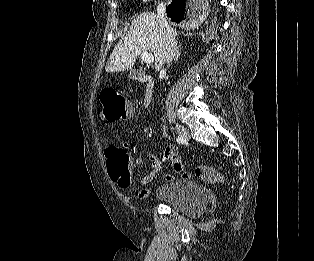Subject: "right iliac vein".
I'll return each mask as SVG.
<instances>
[{
  "instance_id": "63e3f726",
  "label": "right iliac vein",
  "mask_w": 314,
  "mask_h": 261,
  "mask_svg": "<svg viewBox=\"0 0 314 261\" xmlns=\"http://www.w3.org/2000/svg\"><path fill=\"white\" fill-rule=\"evenodd\" d=\"M175 129H176L177 133H178L183 139L189 140L190 135H189L188 130H187L185 127H183V126L180 125V124H176V125H175Z\"/></svg>"
}]
</instances>
